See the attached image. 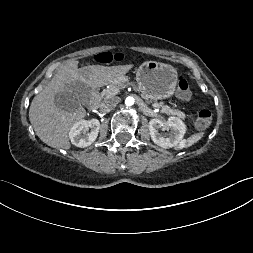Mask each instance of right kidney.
Returning <instances> with one entry per match:
<instances>
[{"instance_id": "obj_1", "label": "right kidney", "mask_w": 253, "mask_h": 253, "mask_svg": "<svg viewBox=\"0 0 253 253\" xmlns=\"http://www.w3.org/2000/svg\"><path fill=\"white\" fill-rule=\"evenodd\" d=\"M99 129L100 122L97 119L80 120L71 127L69 138L73 145L85 148L96 140Z\"/></svg>"}]
</instances>
